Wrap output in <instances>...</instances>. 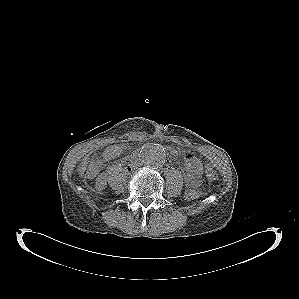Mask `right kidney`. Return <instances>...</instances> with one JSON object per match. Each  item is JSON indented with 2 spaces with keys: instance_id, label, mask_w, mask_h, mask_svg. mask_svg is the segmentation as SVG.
Here are the masks:
<instances>
[{
  "instance_id": "1",
  "label": "right kidney",
  "mask_w": 299,
  "mask_h": 299,
  "mask_svg": "<svg viewBox=\"0 0 299 299\" xmlns=\"http://www.w3.org/2000/svg\"><path fill=\"white\" fill-rule=\"evenodd\" d=\"M96 186H97L99 189H104V188H105V186H106V181L104 180V177H103V176H99V177L97 178Z\"/></svg>"
}]
</instances>
